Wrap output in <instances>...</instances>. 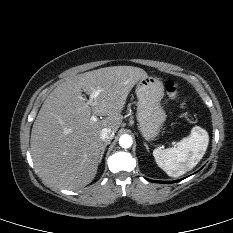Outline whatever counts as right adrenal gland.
Segmentation results:
<instances>
[{
    "label": "right adrenal gland",
    "instance_id": "right-adrenal-gland-1",
    "mask_svg": "<svg viewBox=\"0 0 233 233\" xmlns=\"http://www.w3.org/2000/svg\"><path fill=\"white\" fill-rule=\"evenodd\" d=\"M109 144H110V142H107V143L104 144V147H103V150H102V152H101L100 159H99V163L102 161V158H103V155H104L106 146L109 145Z\"/></svg>",
    "mask_w": 233,
    "mask_h": 233
}]
</instances>
